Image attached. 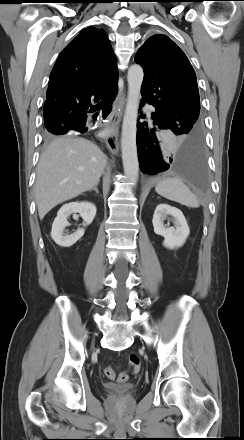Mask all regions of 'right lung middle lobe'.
I'll return each mask as SVG.
<instances>
[{
	"label": "right lung middle lobe",
	"instance_id": "obj_1",
	"mask_svg": "<svg viewBox=\"0 0 244 440\" xmlns=\"http://www.w3.org/2000/svg\"><path fill=\"white\" fill-rule=\"evenodd\" d=\"M53 135H57L56 132H54V131H52V130L46 128L45 137H46V138H50V137H52Z\"/></svg>",
	"mask_w": 244,
	"mask_h": 440
}]
</instances>
